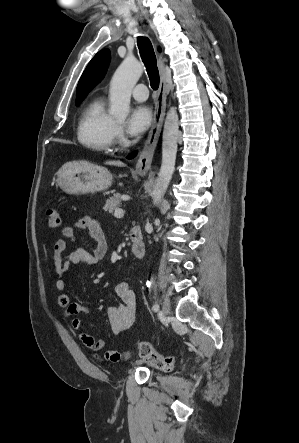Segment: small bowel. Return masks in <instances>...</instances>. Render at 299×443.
Here are the masks:
<instances>
[{
    "label": "small bowel",
    "instance_id": "c3829d8e",
    "mask_svg": "<svg viewBox=\"0 0 299 443\" xmlns=\"http://www.w3.org/2000/svg\"><path fill=\"white\" fill-rule=\"evenodd\" d=\"M78 229H88L90 237L96 242L93 252L77 249L67 253L68 246L76 240V230ZM107 250L108 245L102 227L90 216H84L76 221L74 226H66L62 229V238L58 239L53 247V271L56 276L55 289L58 293L55 306L60 310L63 319L70 322L81 342L94 353L98 361L117 363L122 360V353L116 350L104 351L106 341L87 334L83 330L82 320L76 317L79 313H89V307L71 302L69 295L65 292L66 274L69 269L79 263L94 265L106 256ZM115 293L119 303L109 307L107 318L112 333L118 335L133 324L137 300L134 290L127 282L118 284Z\"/></svg>",
    "mask_w": 299,
    "mask_h": 443
}]
</instances>
